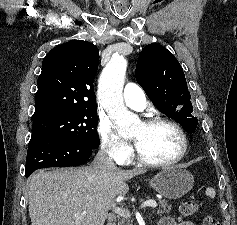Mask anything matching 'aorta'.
Masks as SVG:
<instances>
[{
    "instance_id": "obj_1",
    "label": "aorta",
    "mask_w": 237,
    "mask_h": 225,
    "mask_svg": "<svg viewBox=\"0 0 237 225\" xmlns=\"http://www.w3.org/2000/svg\"><path fill=\"white\" fill-rule=\"evenodd\" d=\"M126 69L127 60L123 56L114 55L103 69L98 85L100 104L115 122L120 135L130 133L139 122V118L129 112L123 102Z\"/></svg>"
}]
</instances>
